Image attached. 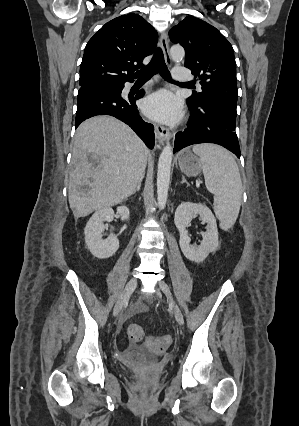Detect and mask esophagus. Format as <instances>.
Masks as SVG:
<instances>
[{
    "mask_svg": "<svg viewBox=\"0 0 299 426\" xmlns=\"http://www.w3.org/2000/svg\"><path fill=\"white\" fill-rule=\"evenodd\" d=\"M159 43H160V46L162 48L166 63L168 65L171 64V59H170V55H169V40H168L167 32H163L161 34L160 39H159ZM154 127H155L157 142H158L157 146L160 147L161 145L164 144V142L166 140L170 139L171 132L169 131V129H167L166 127H164L160 124H155Z\"/></svg>",
    "mask_w": 299,
    "mask_h": 426,
    "instance_id": "obj_1",
    "label": "esophagus"
}]
</instances>
